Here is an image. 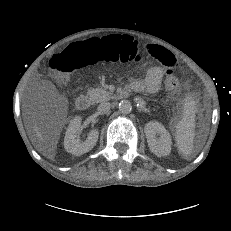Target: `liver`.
Segmentation results:
<instances>
[{
    "label": "liver",
    "mask_w": 231,
    "mask_h": 231,
    "mask_svg": "<svg viewBox=\"0 0 231 231\" xmlns=\"http://www.w3.org/2000/svg\"><path fill=\"white\" fill-rule=\"evenodd\" d=\"M35 131L37 133V136L39 137L41 141V145L38 146V151L41 152L44 156H47L48 158L52 159L55 156V147H49L47 143L45 142L44 138L42 137L41 133L39 132V129L35 127Z\"/></svg>",
    "instance_id": "liver-1"
}]
</instances>
